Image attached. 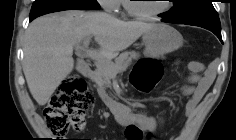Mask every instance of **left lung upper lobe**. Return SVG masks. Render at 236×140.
<instances>
[{
	"instance_id": "1",
	"label": "left lung upper lobe",
	"mask_w": 236,
	"mask_h": 140,
	"mask_svg": "<svg viewBox=\"0 0 236 140\" xmlns=\"http://www.w3.org/2000/svg\"><path fill=\"white\" fill-rule=\"evenodd\" d=\"M173 9L160 15L168 22L176 24H190L221 30L217 11L212 0H173Z\"/></svg>"
}]
</instances>
